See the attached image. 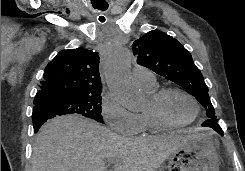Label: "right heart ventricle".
<instances>
[{
	"mask_svg": "<svg viewBox=\"0 0 245 171\" xmlns=\"http://www.w3.org/2000/svg\"><path fill=\"white\" fill-rule=\"evenodd\" d=\"M142 88L148 94H152L158 89V86L157 84H155L152 87H142ZM138 116H139L140 125H141L140 131H139L140 134L158 133L164 130V128L160 127L152 120V118L150 117V115L148 114L146 110L142 111L140 114H138Z\"/></svg>",
	"mask_w": 245,
	"mask_h": 171,
	"instance_id": "e07e8e85",
	"label": "right heart ventricle"
}]
</instances>
